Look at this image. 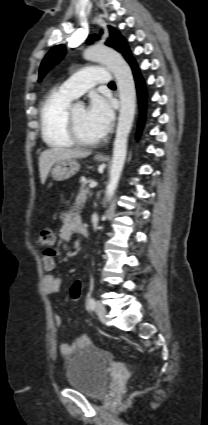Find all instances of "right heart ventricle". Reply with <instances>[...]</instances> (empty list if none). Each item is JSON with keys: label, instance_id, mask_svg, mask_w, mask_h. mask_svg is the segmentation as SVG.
I'll use <instances>...</instances> for the list:
<instances>
[{"label": "right heart ventricle", "instance_id": "e07e8e85", "mask_svg": "<svg viewBox=\"0 0 208 425\" xmlns=\"http://www.w3.org/2000/svg\"><path fill=\"white\" fill-rule=\"evenodd\" d=\"M74 98L61 89L51 91L41 104L40 127L44 142L51 148H71L66 114Z\"/></svg>", "mask_w": 208, "mask_h": 425}]
</instances>
